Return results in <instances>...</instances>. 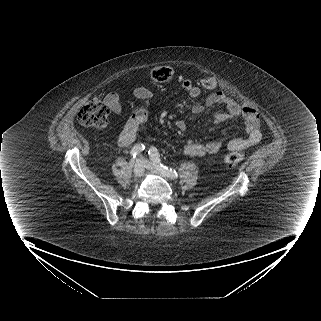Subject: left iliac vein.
<instances>
[{
    "label": "left iliac vein",
    "instance_id": "1",
    "mask_svg": "<svg viewBox=\"0 0 321 321\" xmlns=\"http://www.w3.org/2000/svg\"><path fill=\"white\" fill-rule=\"evenodd\" d=\"M141 162L143 163L144 167L149 170L150 172L156 174V175H159V176H162V177H165L166 175L158 170L151 162H149L148 160L144 159V158H141Z\"/></svg>",
    "mask_w": 321,
    "mask_h": 321
}]
</instances>
